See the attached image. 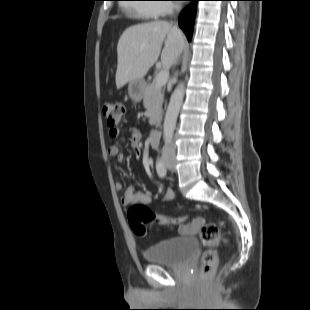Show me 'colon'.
<instances>
[{
    "label": "colon",
    "instance_id": "obj_1",
    "mask_svg": "<svg viewBox=\"0 0 310 310\" xmlns=\"http://www.w3.org/2000/svg\"><path fill=\"white\" fill-rule=\"evenodd\" d=\"M124 106L118 102H107L103 105V114L109 127H118L124 114ZM187 220L183 216H172L155 213L142 203L132 204L128 210V222L133 231L145 235V225L150 222L161 224H181ZM195 227L199 230V237L205 250L202 255L201 270L204 276L211 274L217 264V247L220 243V230L217 224L198 219Z\"/></svg>",
    "mask_w": 310,
    "mask_h": 310
}]
</instances>
